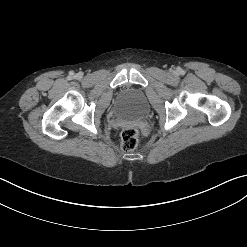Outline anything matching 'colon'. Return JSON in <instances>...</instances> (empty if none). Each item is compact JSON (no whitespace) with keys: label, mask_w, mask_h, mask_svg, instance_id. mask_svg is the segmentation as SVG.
<instances>
[{"label":"colon","mask_w":247,"mask_h":247,"mask_svg":"<svg viewBox=\"0 0 247 247\" xmlns=\"http://www.w3.org/2000/svg\"><path fill=\"white\" fill-rule=\"evenodd\" d=\"M138 144V130L125 126L120 131V146L123 151H132Z\"/></svg>","instance_id":"obj_1"}]
</instances>
